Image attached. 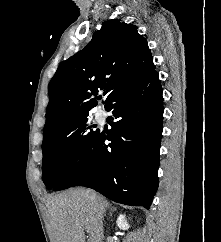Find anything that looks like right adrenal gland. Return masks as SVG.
<instances>
[{
  "mask_svg": "<svg viewBox=\"0 0 221 242\" xmlns=\"http://www.w3.org/2000/svg\"><path fill=\"white\" fill-rule=\"evenodd\" d=\"M116 211V207H112L110 206V212H109V216L111 217L112 216V213Z\"/></svg>",
  "mask_w": 221,
  "mask_h": 242,
  "instance_id": "right-adrenal-gland-1",
  "label": "right adrenal gland"
}]
</instances>
